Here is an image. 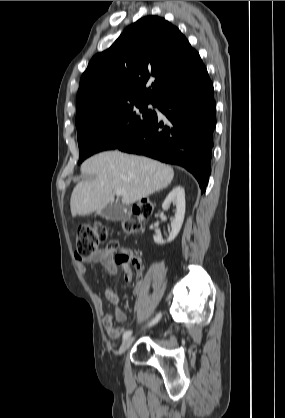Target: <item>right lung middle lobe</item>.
Wrapping results in <instances>:
<instances>
[{"label":"right lung middle lobe","mask_w":285,"mask_h":418,"mask_svg":"<svg viewBox=\"0 0 285 418\" xmlns=\"http://www.w3.org/2000/svg\"><path fill=\"white\" fill-rule=\"evenodd\" d=\"M148 104L139 101L116 105L77 123L78 163L99 151L116 149L140 133L156 116L148 110Z\"/></svg>","instance_id":"1"}]
</instances>
